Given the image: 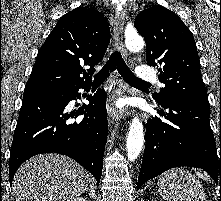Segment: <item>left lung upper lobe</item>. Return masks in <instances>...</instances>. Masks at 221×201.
<instances>
[{
  "instance_id": "obj_1",
  "label": "left lung upper lobe",
  "mask_w": 221,
  "mask_h": 201,
  "mask_svg": "<svg viewBox=\"0 0 221 201\" xmlns=\"http://www.w3.org/2000/svg\"><path fill=\"white\" fill-rule=\"evenodd\" d=\"M134 25L145 39L147 64L159 66V80L165 84L152 97L159 103H208L196 44L183 21L174 12L156 5L140 12Z\"/></svg>"
}]
</instances>
